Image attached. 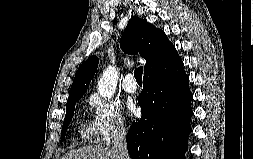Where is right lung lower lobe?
<instances>
[{"instance_id": "right-lung-lower-lobe-1", "label": "right lung lower lobe", "mask_w": 253, "mask_h": 159, "mask_svg": "<svg viewBox=\"0 0 253 159\" xmlns=\"http://www.w3.org/2000/svg\"><path fill=\"white\" fill-rule=\"evenodd\" d=\"M183 62L171 71L144 77L138 97L142 117L127 134L132 159H185L193 114Z\"/></svg>"}]
</instances>
